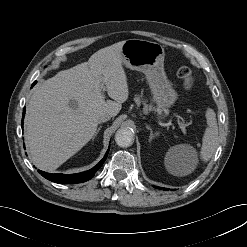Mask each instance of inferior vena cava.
I'll return each mask as SVG.
<instances>
[{
  "instance_id": "inferior-vena-cava-1",
  "label": "inferior vena cava",
  "mask_w": 247,
  "mask_h": 247,
  "mask_svg": "<svg viewBox=\"0 0 247 247\" xmlns=\"http://www.w3.org/2000/svg\"><path fill=\"white\" fill-rule=\"evenodd\" d=\"M111 115L110 114H101L99 117H98V122L99 123H102V122H106L108 120L111 119Z\"/></svg>"
}]
</instances>
